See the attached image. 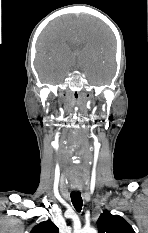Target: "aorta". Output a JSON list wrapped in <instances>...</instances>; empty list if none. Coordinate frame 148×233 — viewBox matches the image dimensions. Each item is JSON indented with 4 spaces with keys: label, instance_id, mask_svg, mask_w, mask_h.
I'll use <instances>...</instances> for the list:
<instances>
[{
    "label": "aorta",
    "instance_id": "obj_1",
    "mask_svg": "<svg viewBox=\"0 0 148 233\" xmlns=\"http://www.w3.org/2000/svg\"><path fill=\"white\" fill-rule=\"evenodd\" d=\"M78 233H97L94 228H83Z\"/></svg>",
    "mask_w": 148,
    "mask_h": 233
}]
</instances>
